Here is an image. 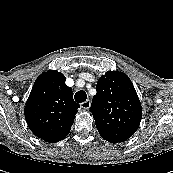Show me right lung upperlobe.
Returning <instances> with one entry per match:
<instances>
[{
  "mask_svg": "<svg viewBox=\"0 0 173 173\" xmlns=\"http://www.w3.org/2000/svg\"><path fill=\"white\" fill-rule=\"evenodd\" d=\"M66 77L55 70L42 73L35 81L24 109L30 130L46 142L56 143L70 132L80 107L73 100Z\"/></svg>",
  "mask_w": 173,
  "mask_h": 173,
  "instance_id": "right-lung-upper-lobe-1",
  "label": "right lung upper lobe"
}]
</instances>
